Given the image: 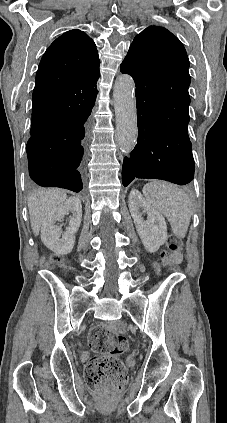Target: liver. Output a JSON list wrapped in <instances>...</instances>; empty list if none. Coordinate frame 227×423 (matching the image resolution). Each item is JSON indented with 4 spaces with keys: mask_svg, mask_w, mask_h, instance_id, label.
<instances>
[{
    "mask_svg": "<svg viewBox=\"0 0 227 423\" xmlns=\"http://www.w3.org/2000/svg\"><path fill=\"white\" fill-rule=\"evenodd\" d=\"M67 196L65 192L61 190H55V188H50V190H42V192H37V194H32L28 200V208L30 213V223L31 229L34 235H39V231L42 227V221L45 219L47 213L60 206L65 202Z\"/></svg>",
    "mask_w": 227,
    "mask_h": 423,
    "instance_id": "1",
    "label": "liver"
}]
</instances>
